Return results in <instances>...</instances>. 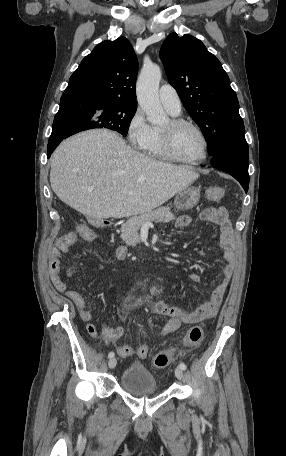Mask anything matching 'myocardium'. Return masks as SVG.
Instances as JSON below:
<instances>
[{"mask_svg":"<svg viewBox=\"0 0 286 456\" xmlns=\"http://www.w3.org/2000/svg\"><path fill=\"white\" fill-rule=\"evenodd\" d=\"M170 124H171L172 129L189 127V128L194 129L195 131H197V133L200 135L202 142H203V154L201 157H199L197 159H192V160L180 158L173 151L172 132L170 130H168V131L159 130L160 147H161V151H162L164 157L169 160L179 162L182 164H188V165H199V164L203 163L207 159L208 154H209V140H208L205 132L203 131V129L199 125L195 124L194 122L185 120L182 118H172L170 120Z\"/></svg>","mask_w":286,"mask_h":456,"instance_id":"obj_1","label":"myocardium"}]
</instances>
